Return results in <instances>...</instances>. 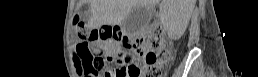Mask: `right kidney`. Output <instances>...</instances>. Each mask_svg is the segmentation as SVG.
Returning <instances> with one entry per match:
<instances>
[{"label":"right kidney","mask_w":258,"mask_h":77,"mask_svg":"<svg viewBox=\"0 0 258 77\" xmlns=\"http://www.w3.org/2000/svg\"><path fill=\"white\" fill-rule=\"evenodd\" d=\"M163 8H164V10L169 9L170 14L172 13V8L171 7L163 6ZM186 26L185 27L183 26L179 17H176V18L172 19L171 21H169L167 23V29H168L169 37H171L173 39H179L183 35Z\"/></svg>","instance_id":"obj_1"}]
</instances>
